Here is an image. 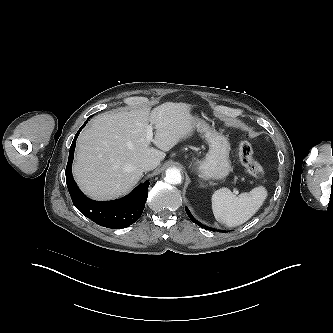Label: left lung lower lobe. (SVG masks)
Segmentation results:
<instances>
[{
    "label": "left lung lower lobe",
    "mask_w": 333,
    "mask_h": 333,
    "mask_svg": "<svg viewBox=\"0 0 333 333\" xmlns=\"http://www.w3.org/2000/svg\"><path fill=\"white\" fill-rule=\"evenodd\" d=\"M186 212H187V215L189 216V218H190L195 224H197L198 226H200V227H202V228H204V229H207V230L215 231V229L210 228V227H207V226H205V225H202L200 222L196 221V220L192 217V215L190 214V212H189L188 209H186Z\"/></svg>",
    "instance_id": "1"
}]
</instances>
